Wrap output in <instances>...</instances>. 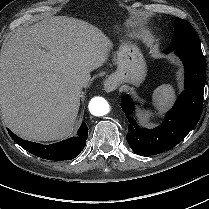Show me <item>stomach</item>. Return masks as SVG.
I'll return each instance as SVG.
<instances>
[{"label": "stomach", "instance_id": "0dacf381", "mask_svg": "<svg viewBox=\"0 0 209 209\" xmlns=\"http://www.w3.org/2000/svg\"><path fill=\"white\" fill-rule=\"evenodd\" d=\"M114 61L117 70L110 78L115 79L118 84L141 85L147 74V66L144 56L137 45L122 42Z\"/></svg>", "mask_w": 209, "mask_h": 209}]
</instances>
